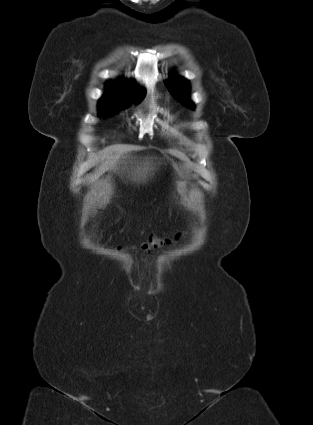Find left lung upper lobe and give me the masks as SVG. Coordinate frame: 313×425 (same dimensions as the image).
I'll return each mask as SVG.
<instances>
[{
    "mask_svg": "<svg viewBox=\"0 0 313 425\" xmlns=\"http://www.w3.org/2000/svg\"><path fill=\"white\" fill-rule=\"evenodd\" d=\"M171 94L183 105L194 109V104L189 99L190 85L185 78L173 75L165 83Z\"/></svg>",
    "mask_w": 313,
    "mask_h": 425,
    "instance_id": "left-lung-upper-lobe-1",
    "label": "left lung upper lobe"
}]
</instances>
